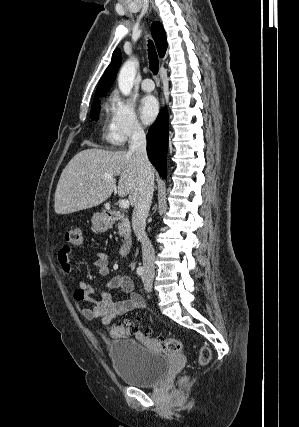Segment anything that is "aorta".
<instances>
[{
	"mask_svg": "<svg viewBox=\"0 0 299 427\" xmlns=\"http://www.w3.org/2000/svg\"><path fill=\"white\" fill-rule=\"evenodd\" d=\"M137 62L134 59L127 60L122 66L118 76V86L123 95L131 93L136 76Z\"/></svg>",
	"mask_w": 299,
	"mask_h": 427,
	"instance_id": "1",
	"label": "aorta"
}]
</instances>
